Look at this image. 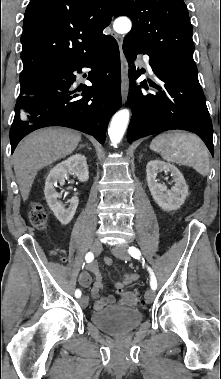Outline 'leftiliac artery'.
Wrapping results in <instances>:
<instances>
[{"label":"left iliac artery","mask_w":221,"mask_h":379,"mask_svg":"<svg viewBox=\"0 0 221 379\" xmlns=\"http://www.w3.org/2000/svg\"><path fill=\"white\" fill-rule=\"evenodd\" d=\"M128 252L129 254L135 258V259H140L141 258V252L138 248L136 247H130L128 249ZM148 271L150 272V286L153 290H156L157 288V280H156V277L153 273V271L151 270V268L148 267Z\"/></svg>","instance_id":"44dca946"}]
</instances>
